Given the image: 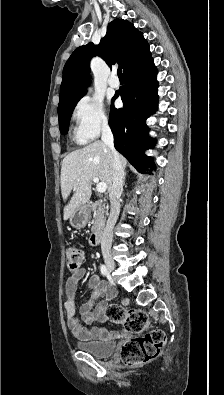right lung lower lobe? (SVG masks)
<instances>
[{"label":"right lung lower lobe","mask_w":224,"mask_h":395,"mask_svg":"<svg viewBox=\"0 0 224 395\" xmlns=\"http://www.w3.org/2000/svg\"><path fill=\"white\" fill-rule=\"evenodd\" d=\"M156 74L150 51L130 65L124 71L125 86L112 98L109 119L115 148L142 173L147 166L153 168L152 160L144 151L154 144L148 136L146 119L156 109ZM119 95L123 108L116 109L113 102Z\"/></svg>","instance_id":"obj_1"}]
</instances>
